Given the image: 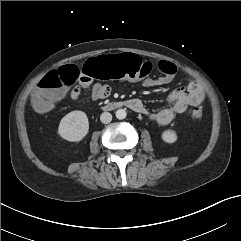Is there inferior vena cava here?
Here are the masks:
<instances>
[{
    "label": "inferior vena cava",
    "mask_w": 241,
    "mask_h": 241,
    "mask_svg": "<svg viewBox=\"0 0 241 241\" xmlns=\"http://www.w3.org/2000/svg\"><path fill=\"white\" fill-rule=\"evenodd\" d=\"M100 120H101V122L104 123V124L110 123L111 120H112V115H111V113H109V112H103V113L101 114V116H100Z\"/></svg>",
    "instance_id": "1"
}]
</instances>
